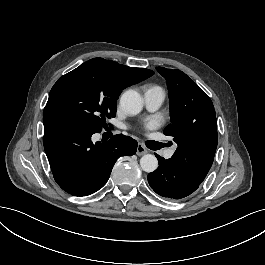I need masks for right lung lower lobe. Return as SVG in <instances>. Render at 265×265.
I'll return each instance as SVG.
<instances>
[{
    "label": "right lung lower lobe",
    "mask_w": 265,
    "mask_h": 265,
    "mask_svg": "<svg viewBox=\"0 0 265 265\" xmlns=\"http://www.w3.org/2000/svg\"><path fill=\"white\" fill-rule=\"evenodd\" d=\"M43 123L44 149L54 179L71 195L88 196L101 189L116 160L137 150V141L129 136L93 143L94 133L67 120L45 118Z\"/></svg>",
    "instance_id": "right-lung-lower-lobe-1"
}]
</instances>
